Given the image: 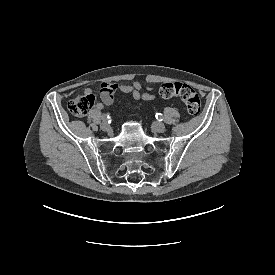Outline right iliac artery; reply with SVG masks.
I'll return each instance as SVG.
<instances>
[{
  "instance_id": "82829eb1",
  "label": "right iliac artery",
  "mask_w": 275,
  "mask_h": 275,
  "mask_svg": "<svg viewBox=\"0 0 275 275\" xmlns=\"http://www.w3.org/2000/svg\"><path fill=\"white\" fill-rule=\"evenodd\" d=\"M109 118H110V116L108 114H103L102 115L103 120H108Z\"/></svg>"
}]
</instances>
